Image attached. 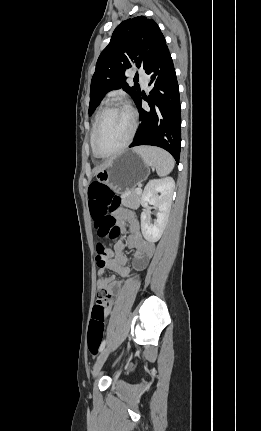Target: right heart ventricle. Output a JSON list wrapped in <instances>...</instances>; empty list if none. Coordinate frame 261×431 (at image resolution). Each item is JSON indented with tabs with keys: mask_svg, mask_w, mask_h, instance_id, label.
Wrapping results in <instances>:
<instances>
[{
	"mask_svg": "<svg viewBox=\"0 0 261 431\" xmlns=\"http://www.w3.org/2000/svg\"><path fill=\"white\" fill-rule=\"evenodd\" d=\"M99 113H100V111H98L95 114V117H94V120H93V124H92V128H91V131H90V146H91L92 152H93V154H94L95 157H98V156L95 154L94 149H93V134H94V129H95V126H96V122H97Z\"/></svg>",
	"mask_w": 261,
	"mask_h": 431,
	"instance_id": "obj_1",
	"label": "right heart ventricle"
}]
</instances>
